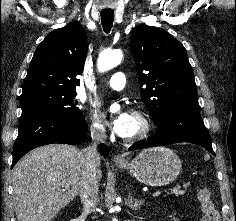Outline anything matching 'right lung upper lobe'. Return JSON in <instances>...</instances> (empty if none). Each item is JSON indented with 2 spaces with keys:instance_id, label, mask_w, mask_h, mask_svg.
I'll return each instance as SVG.
<instances>
[{
  "instance_id": "right-lung-upper-lobe-1",
  "label": "right lung upper lobe",
  "mask_w": 236,
  "mask_h": 221,
  "mask_svg": "<svg viewBox=\"0 0 236 221\" xmlns=\"http://www.w3.org/2000/svg\"><path fill=\"white\" fill-rule=\"evenodd\" d=\"M87 55L82 26L72 22L50 32L38 45L25 78L22 94L39 89L76 91Z\"/></svg>"
}]
</instances>
